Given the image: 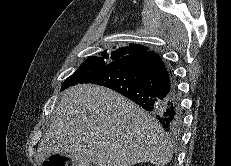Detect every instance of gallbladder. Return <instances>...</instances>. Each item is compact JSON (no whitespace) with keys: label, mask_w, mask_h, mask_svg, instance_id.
I'll return each mask as SVG.
<instances>
[{"label":"gallbladder","mask_w":231,"mask_h":166,"mask_svg":"<svg viewBox=\"0 0 231 166\" xmlns=\"http://www.w3.org/2000/svg\"><path fill=\"white\" fill-rule=\"evenodd\" d=\"M73 166H81L80 164H78L77 162L73 163Z\"/></svg>","instance_id":"1"}]
</instances>
